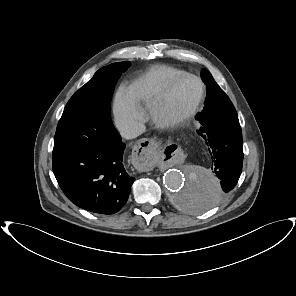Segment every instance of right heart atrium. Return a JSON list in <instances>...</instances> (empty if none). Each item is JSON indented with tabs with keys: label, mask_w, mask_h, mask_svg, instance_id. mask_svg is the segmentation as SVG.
Masks as SVG:
<instances>
[{
	"label": "right heart atrium",
	"mask_w": 296,
	"mask_h": 296,
	"mask_svg": "<svg viewBox=\"0 0 296 296\" xmlns=\"http://www.w3.org/2000/svg\"><path fill=\"white\" fill-rule=\"evenodd\" d=\"M115 117L118 127L130 133L143 119V114L129 98L127 93L119 92L115 98Z\"/></svg>",
	"instance_id": "obj_1"
}]
</instances>
